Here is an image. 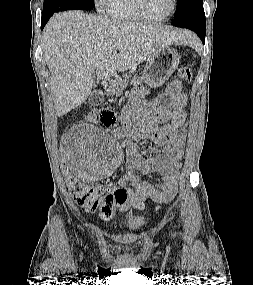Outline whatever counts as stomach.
Returning <instances> with one entry per match:
<instances>
[{
	"label": "stomach",
	"mask_w": 253,
	"mask_h": 285,
	"mask_svg": "<svg viewBox=\"0 0 253 285\" xmlns=\"http://www.w3.org/2000/svg\"><path fill=\"white\" fill-rule=\"evenodd\" d=\"M180 55L170 46L159 48L148 59L143 76L140 79H133L132 83L137 85L145 80L150 85H162L177 69ZM109 92L115 93V87H110Z\"/></svg>",
	"instance_id": "stomach-1"
}]
</instances>
